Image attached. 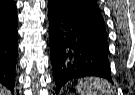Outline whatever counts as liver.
I'll return each mask as SVG.
<instances>
[{
  "label": "liver",
  "instance_id": "6515ba94",
  "mask_svg": "<svg viewBox=\"0 0 135 95\" xmlns=\"http://www.w3.org/2000/svg\"><path fill=\"white\" fill-rule=\"evenodd\" d=\"M0 95H10V92L2 85H0Z\"/></svg>",
  "mask_w": 135,
  "mask_h": 95
}]
</instances>
